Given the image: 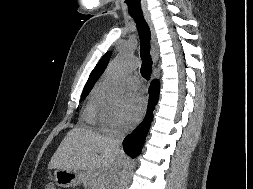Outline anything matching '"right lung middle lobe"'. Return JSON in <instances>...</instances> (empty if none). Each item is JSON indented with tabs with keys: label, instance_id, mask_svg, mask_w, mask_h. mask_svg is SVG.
Returning a JSON list of instances; mask_svg holds the SVG:
<instances>
[{
	"label": "right lung middle lobe",
	"instance_id": "1",
	"mask_svg": "<svg viewBox=\"0 0 253 189\" xmlns=\"http://www.w3.org/2000/svg\"><path fill=\"white\" fill-rule=\"evenodd\" d=\"M90 90H85L82 93L81 101L85 99V97L89 94Z\"/></svg>",
	"mask_w": 253,
	"mask_h": 189
}]
</instances>
